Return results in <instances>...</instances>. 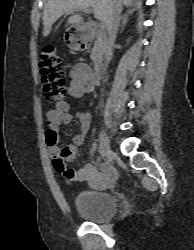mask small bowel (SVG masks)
<instances>
[{
    "label": "small bowel",
    "instance_id": "1",
    "mask_svg": "<svg viewBox=\"0 0 194 250\" xmlns=\"http://www.w3.org/2000/svg\"><path fill=\"white\" fill-rule=\"evenodd\" d=\"M91 73L92 71L88 64H76L70 71V83L67 87L68 95L79 98L91 93L94 89ZM75 118L79 121L80 131L73 136L71 144L60 145V126L70 124ZM46 124L45 141L57 172L72 182L94 184L97 179V172L91 163H85L78 170L66 166L67 162L75 158L78 148L85 142L86 134L91 125L90 114L83 111L74 113L66 101H61L56 104L55 109L47 112ZM104 176L106 180H111L116 176V170L111 165H107L104 167Z\"/></svg>",
    "mask_w": 194,
    "mask_h": 250
}]
</instances>
